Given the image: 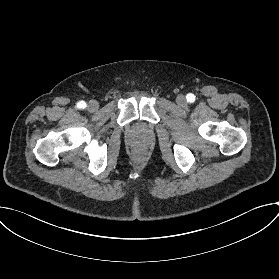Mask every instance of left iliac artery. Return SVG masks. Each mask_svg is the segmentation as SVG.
<instances>
[{
  "mask_svg": "<svg viewBox=\"0 0 279 279\" xmlns=\"http://www.w3.org/2000/svg\"><path fill=\"white\" fill-rule=\"evenodd\" d=\"M186 98H187V101L190 103L195 101V96L192 93L187 94Z\"/></svg>",
  "mask_w": 279,
  "mask_h": 279,
  "instance_id": "obj_1",
  "label": "left iliac artery"
}]
</instances>
